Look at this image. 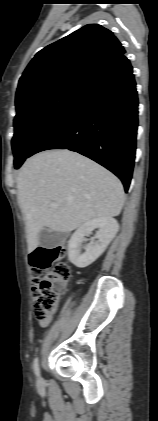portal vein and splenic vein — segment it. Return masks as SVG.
<instances>
[{"instance_id": "obj_1", "label": "portal vein and splenic vein", "mask_w": 158, "mask_h": 421, "mask_svg": "<svg viewBox=\"0 0 158 421\" xmlns=\"http://www.w3.org/2000/svg\"><path fill=\"white\" fill-rule=\"evenodd\" d=\"M50 206L53 207V208H56V207L59 206V204L58 203H52V204H50Z\"/></svg>"}]
</instances>
